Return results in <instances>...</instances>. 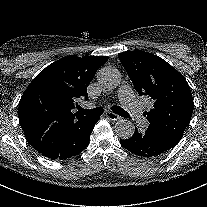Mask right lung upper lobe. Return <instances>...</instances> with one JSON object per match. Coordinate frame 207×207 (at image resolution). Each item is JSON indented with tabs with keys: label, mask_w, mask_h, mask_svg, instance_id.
I'll return each instance as SVG.
<instances>
[{
	"label": "right lung upper lobe",
	"mask_w": 207,
	"mask_h": 207,
	"mask_svg": "<svg viewBox=\"0 0 207 207\" xmlns=\"http://www.w3.org/2000/svg\"><path fill=\"white\" fill-rule=\"evenodd\" d=\"M107 60V56H67L47 66L29 84L20 99L18 115L28 142L38 152L86 117L72 109L79 98L87 100V87Z\"/></svg>",
	"instance_id": "right-lung-upper-lobe-1"
}]
</instances>
